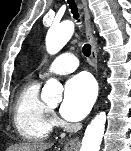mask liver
<instances>
[{"instance_id":"liver-1","label":"liver","mask_w":131,"mask_h":151,"mask_svg":"<svg viewBox=\"0 0 131 151\" xmlns=\"http://www.w3.org/2000/svg\"><path fill=\"white\" fill-rule=\"evenodd\" d=\"M52 143H24L8 148V151H46Z\"/></svg>"}]
</instances>
